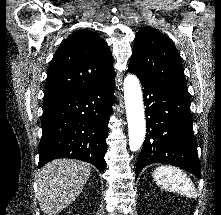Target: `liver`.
<instances>
[{"label": "liver", "instance_id": "liver-1", "mask_svg": "<svg viewBox=\"0 0 221 215\" xmlns=\"http://www.w3.org/2000/svg\"><path fill=\"white\" fill-rule=\"evenodd\" d=\"M91 173L86 162L56 159L38 174V202L46 215H55L71 204L82 192Z\"/></svg>", "mask_w": 221, "mask_h": 215}]
</instances>
